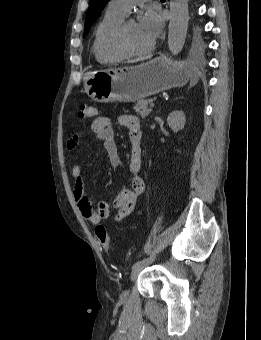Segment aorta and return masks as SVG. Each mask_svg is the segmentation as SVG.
Returning <instances> with one entry per match:
<instances>
[{"mask_svg":"<svg viewBox=\"0 0 261 340\" xmlns=\"http://www.w3.org/2000/svg\"><path fill=\"white\" fill-rule=\"evenodd\" d=\"M188 22V0H172L170 2L168 48L173 55L180 53L184 46Z\"/></svg>","mask_w":261,"mask_h":340,"instance_id":"1","label":"aorta"}]
</instances>
